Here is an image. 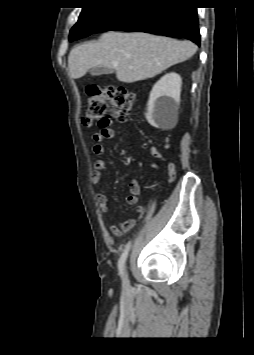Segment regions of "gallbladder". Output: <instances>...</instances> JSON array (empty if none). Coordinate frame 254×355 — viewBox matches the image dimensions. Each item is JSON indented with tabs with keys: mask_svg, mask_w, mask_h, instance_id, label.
<instances>
[{
	"mask_svg": "<svg viewBox=\"0 0 254 355\" xmlns=\"http://www.w3.org/2000/svg\"><path fill=\"white\" fill-rule=\"evenodd\" d=\"M112 72H113V70L109 69L107 67L96 66V67L91 69L90 74L92 76H99V75H102V74H107V73H112Z\"/></svg>",
	"mask_w": 254,
	"mask_h": 355,
	"instance_id": "gallbladder-1",
	"label": "gallbladder"
}]
</instances>
